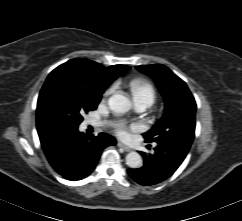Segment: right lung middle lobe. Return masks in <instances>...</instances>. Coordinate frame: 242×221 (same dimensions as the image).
<instances>
[{
	"mask_svg": "<svg viewBox=\"0 0 242 221\" xmlns=\"http://www.w3.org/2000/svg\"><path fill=\"white\" fill-rule=\"evenodd\" d=\"M100 99L99 94H90L81 88L58 81L40 94L37 107L50 128H78L83 120L82 115L95 110Z\"/></svg>",
	"mask_w": 242,
	"mask_h": 221,
	"instance_id": "dd1d6c3e",
	"label": "right lung middle lobe"
}]
</instances>
